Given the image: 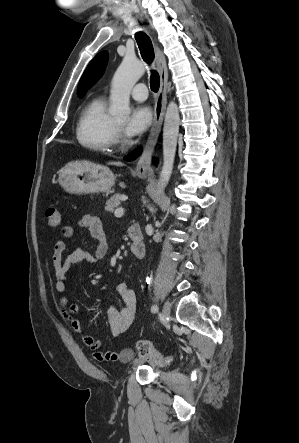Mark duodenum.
Instances as JSON below:
<instances>
[{
    "label": "duodenum",
    "mask_w": 299,
    "mask_h": 443,
    "mask_svg": "<svg viewBox=\"0 0 299 443\" xmlns=\"http://www.w3.org/2000/svg\"><path fill=\"white\" fill-rule=\"evenodd\" d=\"M128 236L131 240V251L136 258H142L145 253L143 236L140 228L132 226L128 229Z\"/></svg>",
    "instance_id": "duodenum-1"
}]
</instances>
